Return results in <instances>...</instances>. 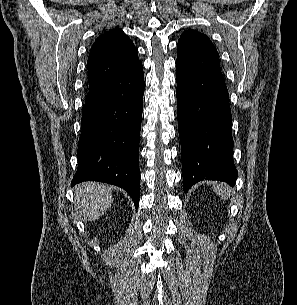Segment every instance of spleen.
<instances>
[{"instance_id": "3e777b00", "label": "spleen", "mask_w": 297, "mask_h": 305, "mask_svg": "<svg viewBox=\"0 0 297 305\" xmlns=\"http://www.w3.org/2000/svg\"><path fill=\"white\" fill-rule=\"evenodd\" d=\"M214 190L216 191V193L221 196L222 198H226L228 197V195L230 194V189L226 187L225 184L221 183V184H217L216 186L214 185Z\"/></svg>"}]
</instances>
